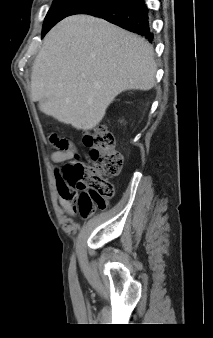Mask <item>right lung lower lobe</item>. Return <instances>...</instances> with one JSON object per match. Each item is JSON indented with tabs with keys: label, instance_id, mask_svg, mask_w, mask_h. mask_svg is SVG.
Here are the masks:
<instances>
[{
	"label": "right lung lower lobe",
	"instance_id": "right-lung-lower-lobe-1",
	"mask_svg": "<svg viewBox=\"0 0 213 338\" xmlns=\"http://www.w3.org/2000/svg\"><path fill=\"white\" fill-rule=\"evenodd\" d=\"M74 14L94 15L142 35L150 42L153 40L144 0H91L71 13Z\"/></svg>",
	"mask_w": 213,
	"mask_h": 338
}]
</instances>
